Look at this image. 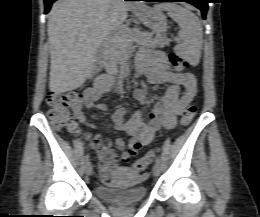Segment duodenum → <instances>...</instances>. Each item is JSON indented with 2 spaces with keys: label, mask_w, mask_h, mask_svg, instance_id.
Segmentation results:
<instances>
[{
  "label": "duodenum",
  "mask_w": 260,
  "mask_h": 217,
  "mask_svg": "<svg viewBox=\"0 0 260 217\" xmlns=\"http://www.w3.org/2000/svg\"><path fill=\"white\" fill-rule=\"evenodd\" d=\"M113 84H114V79L111 76H103L96 81L97 88L101 90H110Z\"/></svg>",
  "instance_id": "obj_1"
}]
</instances>
